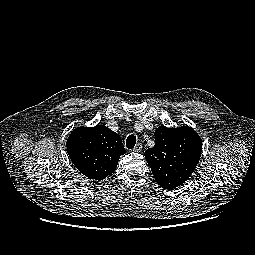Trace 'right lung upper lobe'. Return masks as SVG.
Masks as SVG:
<instances>
[{"label":"right lung upper lobe","instance_id":"obj_1","mask_svg":"<svg viewBox=\"0 0 255 255\" xmlns=\"http://www.w3.org/2000/svg\"><path fill=\"white\" fill-rule=\"evenodd\" d=\"M68 155L80 173L103 180L115 171L126 150L121 137L106 126L77 127L66 143Z\"/></svg>","mask_w":255,"mask_h":255}]
</instances>
